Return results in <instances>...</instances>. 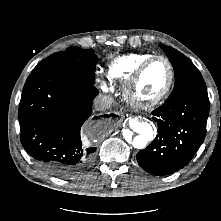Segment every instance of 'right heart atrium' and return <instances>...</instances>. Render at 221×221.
Here are the masks:
<instances>
[{"label":"right heart atrium","instance_id":"d8ad5b80","mask_svg":"<svg viewBox=\"0 0 221 221\" xmlns=\"http://www.w3.org/2000/svg\"><path fill=\"white\" fill-rule=\"evenodd\" d=\"M102 88H103V89H106V88H107L106 83H102Z\"/></svg>","mask_w":221,"mask_h":221}]
</instances>
